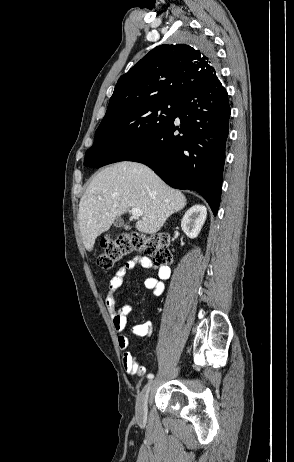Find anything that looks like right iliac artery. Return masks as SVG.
<instances>
[{
	"label": "right iliac artery",
	"instance_id": "1",
	"mask_svg": "<svg viewBox=\"0 0 294 462\" xmlns=\"http://www.w3.org/2000/svg\"><path fill=\"white\" fill-rule=\"evenodd\" d=\"M147 378H148V379H153V378H154V375H153V374H148Z\"/></svg>",
	"mask_w": 294,
	"mask_h": 462
}]
</instances>
